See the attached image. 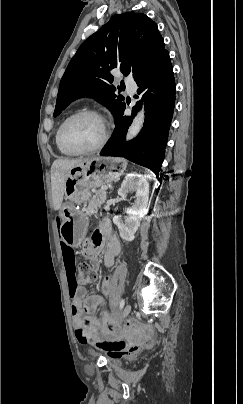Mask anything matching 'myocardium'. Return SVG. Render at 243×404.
Returning <instances> with one entry per match:
<instances>
[{
	"instance_id": "obj_1",
	"label": "myocardium",
	"mask_w": 243,
	"mask_h": 404,
	"mask_svg": "<svg viewBox=\"0 0 243 404\" xmlns=\"http://www.w3.org/2000/svg\"><path fill=\"white\" fill-rule=\"evenodd\" d=\"M84 115L95 116V117L101 119L105 124L104 117L98 111H96L94 109H90V108H83V109H80V110H77V111L71 113L63 120V122L61 123L60 128H59V137H60L61 143L64 146H66L67 148L74 150L78 153H91V152H95V151L101 149L107 143V141L109 139V133H108L106 124H105L104 134H103L102 139L96 145H94L92 147L84 148V147H80L78 145L72 144L64 136V131H65L66 127L68 126V124L71 121H73L74 119H76L80 116H84Z\"/></svg>"
}]
</instances>
